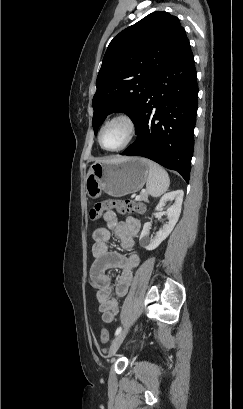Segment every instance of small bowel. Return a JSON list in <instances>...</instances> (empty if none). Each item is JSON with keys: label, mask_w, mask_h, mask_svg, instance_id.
<instances>
[{"label": "small bowel", "mask_w": 243, "mask_h": 409, "mask_svg": "<svg viewBox=\"0 0 243 409\" xmlns=\"http://www.w3.org/2000/svg\"><path fill=\"white\" fill-rule=\"evenodd\" d=\"M103 221L105 226L96 228L92 233L94 261L89 269V277L92 286L96 289L102 320L105 323H112L119 311L116 297L126 295L132 281L133 270L140 261L135 250V238L140 231L141 224L137 218L132 216L120 221L117 214L110 210L104 212ZM112 232L119 238L126 254L109 248L108 243ZM110 269L121 270L114 293L111 288V277L107 274Z\"/></svg>", "instance_id": "1"}]
</instances>
